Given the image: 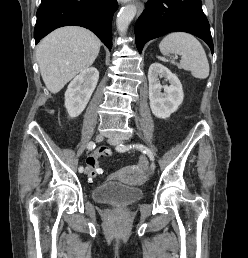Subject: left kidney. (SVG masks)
<instances>
[{"mask_svg": "<svg viewBox=\"0 0 248 258\" xmlns=\"http://www.w3.org/2000/svg\"><path fill=\"white\" fill-rule=\"evenodd\" d=\"M158 76L169 81L162 87ZM149 100L152 113L161 119H167L182 104L184 93L178 77L160 63H153L148 70ZM162 88L164 93H162Z\"/></svg>", "mask_w": 248, "mask_h": 258, "instance_id": "5707ae66", "label": "left kidney"}]
</instances>
